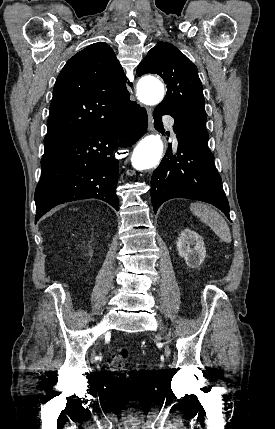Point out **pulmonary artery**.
Listing matches in <instances>:
<instances>
[{
    "label": "pulmonary artery",
    "instance_id": "1",
    "mask_svg": "<svg viewBox=\"0 0 275 429\" xmlns=\"http://www.w3.org/2000/svg\"><path fill=\"white\" fill-rule=\"evenodd\" d=\"M164 120L169 126H171V120L169 118L166 117ZM172 132H173V135L175 137L176 135H175L174 131H172Z\"/></svg>",
    "mask_w": 275,
    "mask_h": 429
}]
</instances>
